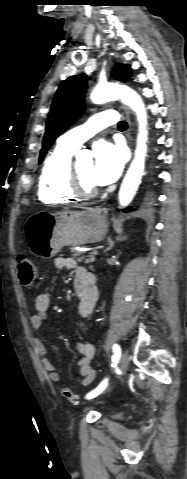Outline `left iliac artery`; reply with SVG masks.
<instances>
[{"label":"left iliac artery","instance_id":"obj_1","mask_svg":"<svg viewBox=\"0 0 187 479\" xmlns=\"http://www.w3.org/2000/svg\"><path fill=\"white\" fill-rule=\"evenodd\" d=\"M113 353L114 354L112 356V361H113L112 366H115V364L117 363L121 355V348L118 344L113 345ZM107 384H108V379L106 378L99 384V386L96 389H94L93 391L89 392L86 395V399H92L98 396L106 388Z\"/></svg>","mask_w":187,"mask_h":479}]
</instances>
